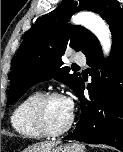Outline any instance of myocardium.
I'll use <instances>...</instances> for the list:
<instances>
[{
    "mask_svg": "<svg viewBox=\"0 0 123 152\" xmlns=\"http://www.w3.org/2000/svg\"><path fill=\"white\" fill-rule=\"evenodd\" d=\"M56 98L65 97L58 92H49L46 94H42L35 102L32 109V121L35 127L40 131V133L46 137H57L66 133L71 128L74 121V113L72 111L68 122L62 128L57 130L49 128L45 118V109L48 102Z\"/></svg>",
    "mask_w": 123,
    "mask_h": 152,
    "instance_id": "f54148a6",
    "label": "myocardium"
}]
</instances>
